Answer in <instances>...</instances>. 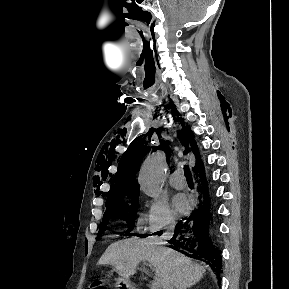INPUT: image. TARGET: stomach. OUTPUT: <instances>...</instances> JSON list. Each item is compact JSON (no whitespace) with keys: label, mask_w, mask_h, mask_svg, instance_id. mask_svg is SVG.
Masks as SVG:
<instances>
[{"label":"stomach","mask_w":289,"mask_h":289,"mask_svg":"<svg viewBox=\"0 0 289 289\" xmlns=\"http://www.w3.org/2000/svg\"><path fill=\"white\" fill-rule=\"evenodd\" d=\"M114 270H111L109 274H113ZM116 286L118 289H133L131 282L129 279L120 277L116 280Z\"/></svg>","instance_id":"0dacf381"}]
</instances>
